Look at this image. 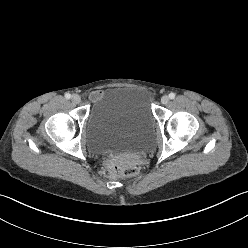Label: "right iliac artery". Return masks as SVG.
Returning <instances> with one entry per match:
<instances>
[{
    "label": "right iliac artery",
    "instance_id": "1",
    "mask_svg": "<svg viewBox=\"0 0 248 248\" xmlns=\"http://www.w3.org/2000/svg\"><path fill=\"white\" fill-rule=\"evenodd\" d=\"M65 98H66V99H70V98H71V94H70V93H66V94H65Z\"/></svg>",
    "mask_w": 248,
    "mask_h": 248
}]
</instances>
